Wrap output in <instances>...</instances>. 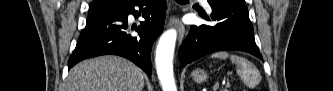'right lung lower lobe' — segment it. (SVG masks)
Instances as JSON below:
<instances>
[{"label": "right lung lower lobe", "mask_w": 333, "mask_h": 91, "mask_svg": "<svg viewBox=\"0 0 333 91\" xmlns=\"http://www.w3.org/2000/svg\"><path fill=\"white\" fill-rule=\"evenodd\" d=\"M138 6L141 12L134 7ZM145 7V8H144ZM165 0H133L120 9L91 12L85 29L69 59V69L76 63L100 55H119L125 57L151 76V48L161 34L165 20ZM129 14L145 18L140 26H132L139 33H128Z\"/></svg>", "instance_id": "obj_1"}]
</instances>
